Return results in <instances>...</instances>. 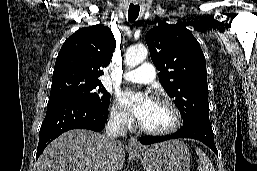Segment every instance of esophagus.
<instances>
[{
	"instance_id": "34e87169",
	"label": "esophagus",
	"mask_w": 257,
	"mask_h": 171,
	"mask_svg": "<svg viewBox=\"0 0 257 171\" xmlns=\"http://www.w3.org/2000/svg\"><path fill=\"white\" fill-rule=\"evenodd\" d=\"M129 148L133 151L141 150V145L136 137H131L129 140Z\"/></svg>"
}]
</instances>
